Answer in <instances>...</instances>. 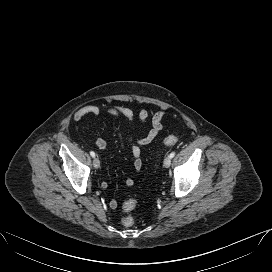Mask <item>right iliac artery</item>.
I'll return each mask as SVG.
<instances>
[{
    "instance_id": "82829eb1",
    "label": "right iliac artery",
    "mask_w": 272,
    "mask_h": 272,
    "mask_svg": "<svg viewBox=\"0 0 272 272\" xmlns=\"http://www.w3.org/2000/svg\"><path fill=\"white\" fill-rule=\"evenodd\" d=\"M90 155H91L92 157H95V153H94L93 151L90 152Z\"/></svg>"
}]
</instances>
